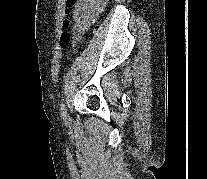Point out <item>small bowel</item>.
I'll list each match as a JSON object with an SVG mask.
<instances>
[{
	"label": "small bowel",
	"mask_w": 207,
	"mask_h": 179,
	"mask_svg": "<svg viewBox=\"0 0 207 179\" xmlns=\"http://www.w3.org/2000/svg\"><path fill=\"white\" fill-rule=\"evenodd\" d=\"M108 0H79L75 12V39L79 41L88 28L104 11Z\"/></svg>",
	"instance_id": "1"
}]
</instances>
